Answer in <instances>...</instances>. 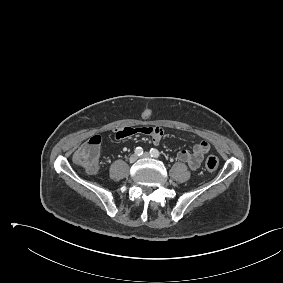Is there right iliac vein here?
<instances>
[{
    "label": "right iliac vein",
    "mask_w": 283,
    "mask_h": 283,
    "mask_svg": "<svg viewBox=\"0 0 283 283\" xmlns=\"http://www.w3.org/2000/svg\"><path fill=\"white\" fill-rule=\"evenodd\" d=\"M137 159H138V155L133 154V155L130 156L129 161H130V163H134V162L137 161Z\"/></svg>",
    "instance_id": "1"
}]
</instances>
